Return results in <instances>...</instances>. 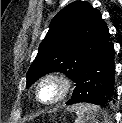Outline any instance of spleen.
Returning <instances> with one entry per match:
<instances>
[{"label":"spleen","mask_w":122,"mask_h":123,"mask_svg":"<svg viewBox=\"0 0 122 123\" xmlns=\"http://www.w3.org/2000/svg\"><path fill=\"white\" fill-rule=\"evenodd\" d=\"M76 113L75 123H99L98 118L103 117V123H108L107 115L93 104H76L70 107Z\"/></svg>","instance_id":"spleen-1"}]
</instances>
